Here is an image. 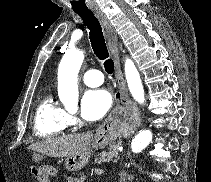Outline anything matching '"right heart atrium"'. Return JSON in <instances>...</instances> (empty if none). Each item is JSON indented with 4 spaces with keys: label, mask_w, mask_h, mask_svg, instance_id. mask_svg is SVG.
Listing matches in <instances>:
<instances>
[{
    "label": "right heart atrium",
    "mask_w": 211,
    "mask_h": 182,
    "mask_svg": "<svg viewBox=\"0 0 211 182\" xmlns=\"http://www.w3.org/2000/svg\"><path fill=\"white\" fill-rule=\"evenodd\" d=\"M67 119H68V123L70 125H74L77 123V117L75 115H72V114H67Z\"/></svg>",
    "instance_id": "d8ad5b80"
}]
</instances>
